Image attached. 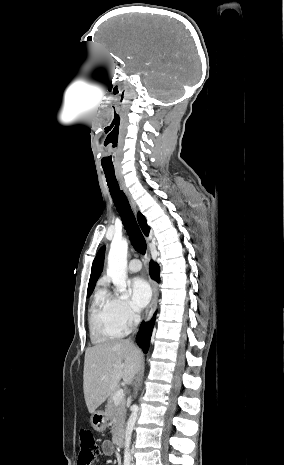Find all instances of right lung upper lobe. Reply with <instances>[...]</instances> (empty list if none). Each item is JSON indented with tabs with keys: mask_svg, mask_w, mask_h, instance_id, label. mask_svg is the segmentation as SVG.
<instances>
[{
	"mask_svg": "<svg viewBox=\"0 0 284 465\" xmlns=\"http://www.w3.org/2000/svg\"><path fill=\"white\" fill-rule=\"evenodd\" d=\"M138 222L144 232L145 235H148L149 233V226L146 224V219L145 217L138 213ZM104 254H105V247L103 246L97 253L93 264H92V270H91V276L88 284V294H91L94 286L96 284L97 279L99 278L102 268H103V263H104Z\"/></svg>",
	"mask_w": 284,
	"mask_h": 465,
	"instance_id": "right-lung-upper-lobe-1",
	"label": "right lung upper lobe"
}]
</instances>
